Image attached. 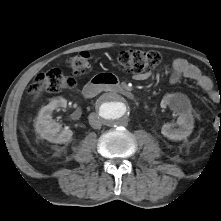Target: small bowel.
<instances>
[{"instance_id":"obj_1","label":"small bowel","mask_w":221,"mask_h":221,"mask_svg":"<svg viewBox=\"0 0 221 221\" xmlns=\"http://www.w3.org/2000/svg\"><path fill=\"white\" fill-rule=\"evenodd\" d=\"M134 77L136 80L142 81L149 77V73L136 74ZM182 78H187L196 82V84L208 94L211 101H220V96L214 91L211 80L203 75L196 65L185 59L176 58L172 62L170 82L176 84Z\"/></svg>"}]
</instances>
